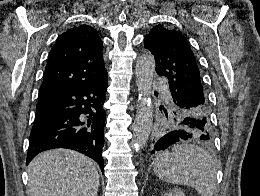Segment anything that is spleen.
Wrapping results in <instances>:
<instances>
[{
    "instance_id": "spleen-1",
    "label": "spleen",
    "mask_w": 260,
    "mask_h": 196,
    "mask_svg": "<svg viewBox=\"0 0 260 196\" xmlns=\"http://www.w3.org/2000/svg\"><path fill=\"white\" fill-rule=\"evenodd\" d=\"M154 174L162 182L193 186L200 196H213L216 166L208 152L193 144H176L154 160Z\"/></svg>"
}]
</instances>
